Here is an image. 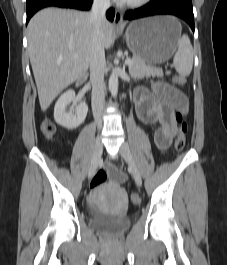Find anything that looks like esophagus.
<instances>
[{
    "label": "esophagus",
    "mask_w": 227,
    "mask_h": 265,
    "mask_svg": "<svg viewBox=\"0 0 227 265\" xmlns=\"http://www.w3.org/2000/svg\"><path fill=\"white\" fill-rule=\"evenodd\" d=\"M113 25L116 29H123L125 26L122 18V13L118 10L115 11Z\"/></svg>",
    "instance_id": "34e87169"
}]
</instances>
